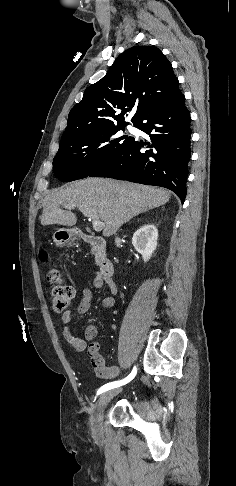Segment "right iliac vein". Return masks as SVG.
<instances>
[{
	"instance_id": "1",
	"label": "right iliac vein",
	"mask_w": 236,
	"mask_h": 486,
	"mask_svg": "<svg viewBox=\"0 0 236 486\" xmlns=\"http://www.w3.org/2000/svg\"><path fill=\"white\" fill-rule=\"evenodd\" d=\"M121 389L110 390L103 393L95 404L94 414L91 418L92 432L95 438H100L103 434V415L107 404L120 393Z\"/></svg>"
}]
</instances>
